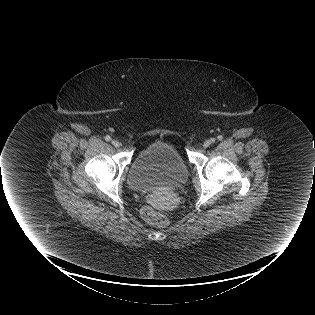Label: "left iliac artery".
I'll return each mask as SVG.
<instances>
[{"instance_id":"44dca946","label":"left iliac artery","mask_w":315,"mask_h":315,"mask_svg":"<svg viewBox=\"0 0 315 315\" xmlns=\"http://www.w3.org/2000/svg\"><path fill=\"white\" fill-rule=\"evenodd\" d=\"M217 138H218V140H222L223 137L221 135H219Z\"/></svg>"}]
</instances>
